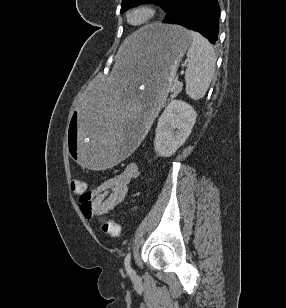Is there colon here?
I'll use <instances>...</instances> for the list:
<instances>
[{
	"label": "colon",
	"mask_w": 286,
	"mask_h": 308,
	"mask_svg": "<svg viewBox=\"0 0 286 308\" xmlns=\"http://www.w3.org/2000/svg\"><path fill=\"white\" fill-rule=\"evenodd\" d=\"M71 189L74 193L83 192L86 189L85 182L82 179H73ZM100 226L103 233L111 237H117L121 233L120 225L113 220H102Z\"/></svg>",
	"instance_id": "obj_1"
}]
</instances>
